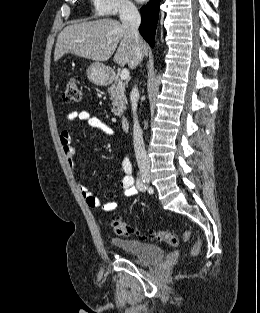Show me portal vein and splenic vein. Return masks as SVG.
I'll list each match as a JSON object with an SVG mask.
<instances>
[{
	"mask_svg": "<svg viewBox=\"0 0 260 313\" xmlns=\"http://www.w3.org/2000/svg\"><path fill=\"white\" fill-rule=\"evenodd\" d=\"M120 78H121V80L128 79L129 78V70L128 69H123L121 71Z\"/></svg>",
	"mask_w": 260,
	"mask_h": 313,
	"instance_id": "obj_1",
	"label": "portal vein and splenic vein"
}]
</instances>
